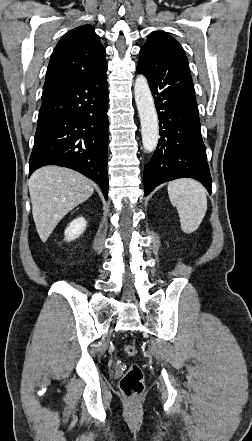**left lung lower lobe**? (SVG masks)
<instances>
[{
    "label": "left lung lower lobe",
    "instance_id": "1",
    "mask_svg": "<svg viewBox=\"0 0 252 441\" xmlns=\"http://www.w3.org/2000/svg\"><path fill=\"white\" fill-rule=\"evenodd\" d=\"M137 72L146 76L159 118L160 139L144 169V193L161 183L189 177L211 193V175L188 60L176 47L140 53Z\"/></svg>",
    "mask_w": 252,
    "mask_h": 441
}]
</instances>
